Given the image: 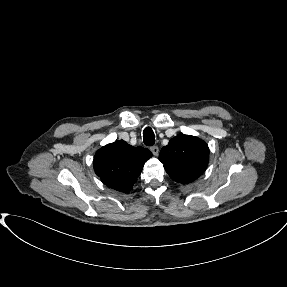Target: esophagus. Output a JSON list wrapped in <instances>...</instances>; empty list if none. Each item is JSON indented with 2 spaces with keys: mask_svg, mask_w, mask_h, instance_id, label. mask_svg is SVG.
Masks as SVG:
<instances>
[{
  "mask_svg": "<svg viewBox=\"0 0 287 287\" xmlns=\"http://www.w3.org/2000/svg\"><path fill=\"white\" fill-rule=\"evenodd\" d=\"M150 150L154 156H157L159 153V148L157 146L150 147Z\"/></svg>",
  "mask_w": 287,
  "mask_h": 287,
  "instance_id": "obj_1",
  "label": "esophagus"
}]
</instances>
